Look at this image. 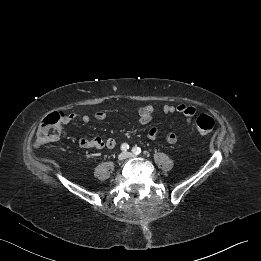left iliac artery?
Segmentation results:
<instances>
[{
  "instance_id": "left-iliac-artery-1",
  "label": "left iliac artery",
  "mask_w": 261,
  "mask_h": 261,
  "mask_svg": "<svg viewBox=\"0 0 261 261\" xmlns=\"http://www.w3.org/2000/svg\"><path fill=\"white\" fill-rule=\"evenodd\" d=\"M132 151L137 155V154L141 153V148L135 146V147H133Z\"/></svg>"
}]
</instances>
